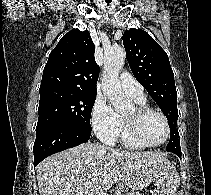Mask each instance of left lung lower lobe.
Listing matches in <instances>:
<instances>
[{
    "label": "left lung lower lobe",
    "instance_id": "obj_1",
    "mask_svg": "<svg viewBox=\"0 0 211 195\" xmlns=\"http://www.w3.org/2000/svg\"><path fill=\"white\" fill-rule=\"evenodd\" d=\"M174 153H175L178 157L181 158V150H180V151H175Z\"/></svg>",
    "mask_w": 211,
    "mask_h": 195
}]
</instances>
